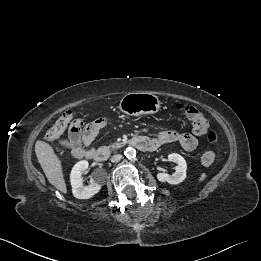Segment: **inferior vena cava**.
I'll list each match as a JSON object with an SVG mask.
<instances>
[{
  "label": "inferior vena cava",
  "instance_id": "1",
  "mask_svg": "<svg viewBox=\"0 0 261 261\" xmlns=\"http://www.w3.org/2000/svg\"><path fill=\"white\" fill-rule=\"evenodd\" d=\"M121 159H122V155L117 154V155L112 156L111 162H113V163L119 162Z\"/></svg>",
  "mask_w": 261,
  "mask_h": 261
}]
</instances>
